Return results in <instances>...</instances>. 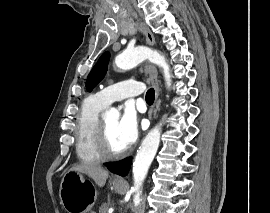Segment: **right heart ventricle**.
I'll list each match as a JSON object with an SVG mask.
<instances>
[{"label": "right heart ventricle", "instance_id": "right-heart-ventricle-1", "mask_svg": "<svg viewBox=\"0 0 270 213\" xmlns=\"http://www.w3.org/2000/svg\"><path fill=\"white\" fill-rule=\"evenodd\" d=\"M105 107L95 96L87 98L76 119L75 148L78 158L87 163H100L103 158L95 143V130L100 112Z\"/></svg>", "mask_w": 270, "mask_h": 213}]
</instances>
